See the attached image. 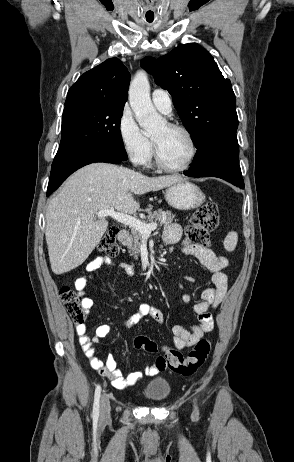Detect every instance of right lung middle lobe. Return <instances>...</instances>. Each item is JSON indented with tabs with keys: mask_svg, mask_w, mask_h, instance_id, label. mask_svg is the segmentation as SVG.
Listing matches in <instances>:
<instances>
[{
	"mask_svg": "<svg viewBox=\"0 0 294 462\" xmlns=\"http://www.w3.org/2000/svg\"><path fill=\"white\" fill-rule=\"evenodd\" d=\"M124 104L76 102L65 105L57 154L95 146L124 147L120 120Z\"/></svg>",
	"mask_w": 294,
	"mask_h": 462,
	"instance_id": "1",
	"label": "right lung middle lobe"
}]
</instances>
